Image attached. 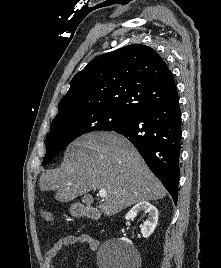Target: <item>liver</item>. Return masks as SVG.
Masks as SVG:
<instances>
[{
	"mask_svg": "<svg viewBox=\"0 0 221 268\" xmlns=\"http://www.w3.org/2000/svg\"><path fill=\"white\" fill-rule=\"evenodd\" d=\"M39 185L41 191H56L55 199L60 202L104 189L107 196L100 210L107 216L166 195L165 187L135 147L114 132L91 133L76 139L66 149L60 168L43 173Z\"/></svg>",
	"mask_w": 221,
	"mask_h": 268,
	"instance_id": "6515ba94",
	"label": "liver"
}]
</instances>
